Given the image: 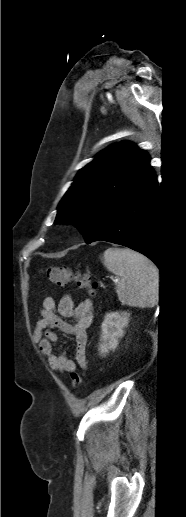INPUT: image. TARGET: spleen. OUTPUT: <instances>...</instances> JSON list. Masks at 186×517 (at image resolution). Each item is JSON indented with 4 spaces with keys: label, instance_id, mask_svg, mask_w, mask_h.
Wrapping results in <instances>:
<instances>
[{
    "label": "spleen",
    "instance_id": "3e777b00",
    "mask_svg": "<svg viewBox=\"0 0 186 517\" xmlns=\"http://www.w3.org/2000/svg\"><path fill=\"white\" fill-rule=\"evenodd\" d=\"M103 264L120 277L116 292L122 304L153 307L159 300V270L144 255L124 248H108Z\"/></svg>",
    "mask_w": 186,
    "mask_h": 517
}]
</instances>
